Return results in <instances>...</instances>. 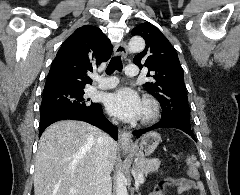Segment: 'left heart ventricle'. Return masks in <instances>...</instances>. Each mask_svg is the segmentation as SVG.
Masks as SVG:
<instances>
[{"instance_id":"left-heart-ventricle-1","label":"left heart ventricle","mask_w":240,"mask_h":195,"mask_svg":"<svg viewBox=\"0 0 240 195\" xmlns=\"http://www.w3.org/2000/svg\"><path fill=\"white\" fill-rule=\"evenodd\" d=\"M142 112H143V108H142V110H141V114H142ZM141 116V115H140Z\"/></svg>"}]
</instances>
